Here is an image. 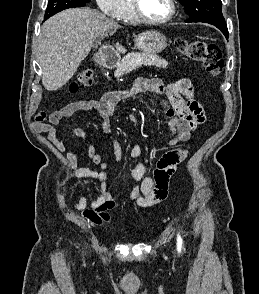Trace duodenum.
I'll return each mask as SVG.
<instances>
[{
    "mask_svg": "<svg viewBox=\"0 0 259 294\" xmlns=\"http://www.w3.org/2000/svg\"><path fill=\"white\" fill-rule=\"evenodd\" d=\"M98 62L106 68H112L118 62V56L112 51H102L99 54Z\"/></svg>",
    "mask_w": 259,
    "mask_h": 294,
    "instance_id": "1",
    "label": "duodenum"
}]
</instances>
